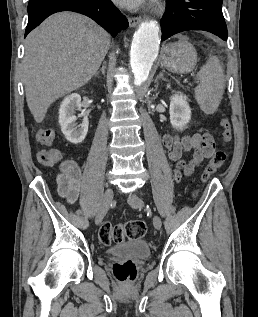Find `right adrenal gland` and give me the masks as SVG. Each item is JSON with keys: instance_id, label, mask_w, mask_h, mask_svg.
<instances>
[{"instance_id": "right-adrenal-gland-1", "label": "right adrenal gland", "mask_w": 258, "mask_h": 317, "mask_svg": "<svg viewBox=\"0 0 258 317\" xmlns=\"http://www.w3.org/2000/svg\"><path fill=\"white\" fill-rule=\"evenodd\" d=\"M106 68H107L106 62H103V64H102L100 70H97V72H95V76H97V74H99V72H102V74H105Z\"/></svg>"}]
</instances>
